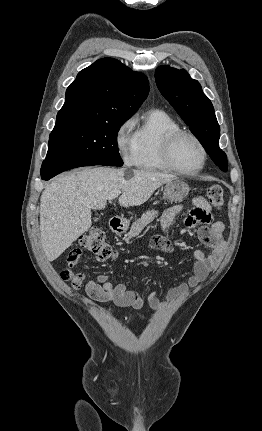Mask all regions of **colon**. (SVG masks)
<instances>
[{
	"label": "colon",
	"instance_id": "colon-1",
	"mask_svg": "<svg viewBox=\"0 0 262 431\" xmlns=\"http://www.w3.org/2000/svg\"><path fill=\"white\" fill-rule=\"evenodd\" d=\"M206 198L209 205L215 209H221L224 205L223 189L218 184H212L208 187ZM165 243L162 236H154L152 245L158 247ZM82 250L93 254L97 258H109L113 253L112 247L106 241L103 232L95 227H92L89 232L82 236L79 240V245L73 253L67 258V268L61 272V277L64 281L71 282L79 278V274L74 271V268L79 264Z\"/></svg>",
	"mask_w": 262,
	"mask_h": 431
}]
</instances>
